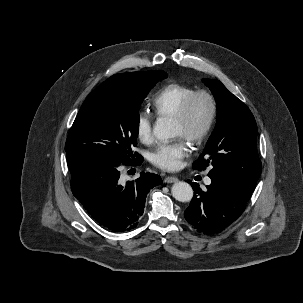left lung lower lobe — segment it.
Instances as JSON below:
<instances>
[{"instance_id":"obj_1","label":"left lung lower lobe","mask_w":303,"mask_h":303,"mask_svg":"<svg viewBox=\"0 0 303 303\" xmlns=\"http://www.w3.org/2000/svg\"><path fill=\"white\" fill-rule=\"evenodd\" d=\"M208 176L211 184L206 186L207 191L188 180L195 192L184 216L198 231L213 234L228 227L242 214L253 190L220 174Z\"/></svg>"}]
</instances>
